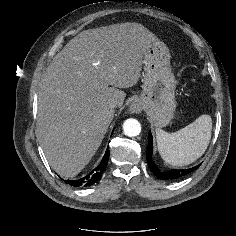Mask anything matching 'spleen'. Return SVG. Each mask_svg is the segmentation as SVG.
I'll return each mask as SVG.
<instances>
[{"label":"spleen","mask_w":236,"mask_h":236,"mask_svg":"<svg viewBox=\"0 0 236 236\" xmlns=\"http://www.w3.org/2000/svg\"><path fill=\"white\" fill-rule=\"evenodd\" d=\"M211 130L212 119L206 114L174 133L157 128L158 151L163 160L169 164L176 166L191 164L206 151Z\"/></svg>","instance_id":"spleen-1"}]
</instances>
